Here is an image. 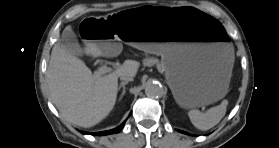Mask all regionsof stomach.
Here are the masks:
<instances>
[{
    "instance_id": "1",
    "label": "stomach",
    "mask_w": 279,
    "mask_h": 148,
    "mask_svg": "<svg viewBox=\"0 0 279 148\" xmlns=\"http://www.w3.org/2000/svg\"><path fill=\"white\" fill-rule=\"evenodd\" d=\"M79 36L105 55L119 54L124 43L160 55L173 97L186 109L224 97L236 57L228 30L190 6H145L91 15L81 22Z\"/></svg>"
}]
</instances>
